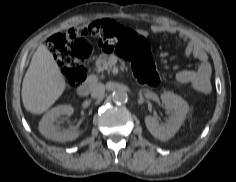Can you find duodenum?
Returning a JSON list of instances; mask_svg holds the SVG:
<instances>
[{"mask_svg":"<svg viewBox=\"0 0 236 182\" xmlns=\"http://www.w3.org/2000/svg\"><path fill=\"white\" fill-rule=\"evenodd\" d=\"M95 77L89 79L85 83L81 84L78 88V94L80 96H87L92 88V86L95 84Z\"/></svg>","mask_w":236,"mask_h":182,"instance_id":"410a0bca","label":"duodenum"}]
</instances>
